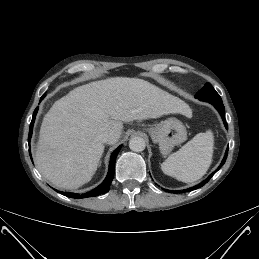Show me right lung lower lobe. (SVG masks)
<instances>
[{"label": "right lung lower lobe", "instance_id": "1", "mask_svg": "<svg viewBox=\"0 0 259 259\" xmlns=\"http://www.w3.org/2000/svg\"><path fill=\"white\" fill-rule=\"evenodd\" d=\"M45 97V95H43L41 97V100ZM38 111V107L35 109L33 117H32V121L30 124V128H29V136H28V142L30 143V139L32 136V131H33V124L35 121V116L37 114ZM122 145H120L111 155V159H110V163H109V171L108 174L105 178V180L95 189L84 193V194H78V193H66V192H62L63 195H66L67 197H71V198H77V199H81V198H87V197H95L98 196L100 194H104L106 192L109 191V187L110 184L113 180V176H114V164H115V159L117 157V154L119 153L120 149H121ZM30 153V151H29ZM31 156V154H30Z\"/></svg>", "mask_w": 259, "mask_h": 259}]
</instances>
